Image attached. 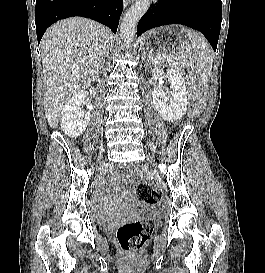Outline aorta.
Returning a JSON list of instances; mask_svg holds the SVG:
<instances>
[{
	"label": "aorta",
	"mask_w": 265,
	"mask_h": 273,
	"mask_svg": "<svg viewBox=\"0 0 265 273\" xmlns=\"http://www.w3.org/2000/svg\"><path fill=\"white\" fill-rule=\"evenodd\" d=\"M150 7V0H137L136 3L124 15L120 25V36L129 46L136 31V26L141 17Z\"/></svg>",
	"instance_id": "1"
}]
</instances>
